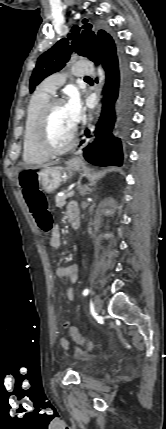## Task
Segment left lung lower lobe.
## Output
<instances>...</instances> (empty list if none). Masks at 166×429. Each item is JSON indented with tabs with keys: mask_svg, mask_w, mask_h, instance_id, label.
<instances>
[{
	"mask_svg": "<svg viewBox=\"0 0 166 429\" xmlns=\"http://www.w3.org/2000/svg\"><path fill=\"white\" fill-rule=\"evenodd\" d=\"M106 72L102 114L95 129L96 139L83 149L85 159L99 166L123 163L121 136L127 137L133 108V82L123 48L114 42L98 43L92 60ZM116 134V136L113 134ZM85 135L90 137V131ZM83 143V141H82Z\"/></svg>",
	"mask_w": 166,
	"mask_h": 429,
	"instance_id": "obj_1",
	"label": "left lung lower lobe"
}]
</instances>
